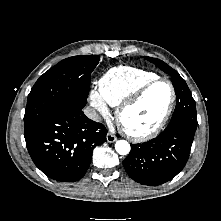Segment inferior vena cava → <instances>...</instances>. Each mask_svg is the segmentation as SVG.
I'll return each instance as SVG.
<instances>
[{
	"mask_svg": "<svg viewBox=\"0 0 221 221\" xmlns=\"http://www.w3.org/2000/svg\"><path fill=\"white\" fill-rule=\"evenodd\" d=\"M84 111H85V114L92 120L101 121V117L96 113L94 109L86 108Z\"/></svg>",
	"mask_w": 221,
	"mask_h": 221,
	"instance_id": "602c4592",
	"label": "inferior vena cava"
}]
</instances>
